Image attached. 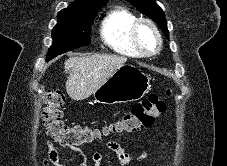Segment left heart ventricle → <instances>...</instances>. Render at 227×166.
<instances>
[{
	"mask_svg": "<svg viewBox=\"0 0 227 166\" xmlns=\"http://www.w3.org/2000/svg\"><path fill=\"white\" fill-rule=\"evenodd\" d=\"M138 38L141 45L146 50H152L156 46L157 43L156 37L154 33L151 31V29L146 25L140 26L138 30Z\"/></svg>",
	"mask_w": 227,
	"mask_h": 166,
	"instance_id": "obj_1",
	"label": "left heart ventricle"
}]
</instances>
